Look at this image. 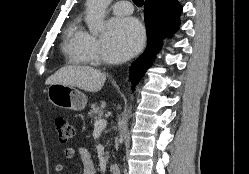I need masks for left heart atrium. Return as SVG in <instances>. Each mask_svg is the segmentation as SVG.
I'll use <instances>...</instances> for the list:
<instances>
[{
  "instance_id": "1",
  "label": "left heart atrium",
  "mask_w": 249,
  "mask_h": 174,
  "mask_svg": "<svg viewBox=\"0 0 249 174\" xmlns=\"http://www.w3.org/2000/svg\"><path fill=\"white\" fill-rule=\"evenodd\" d=\"M144 31L140 22L130 17H118L109 21L103 41L104 57L112 62L124 61L142 47Z\"/></svg>"
}]
</instances>
